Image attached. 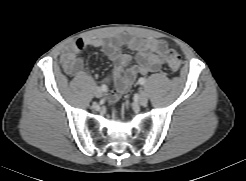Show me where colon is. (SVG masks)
I'll return each instance as SVG.
<instances>
[{
    "instance_id": "5ec220e1",
    "label": "colon",
    "mask_w": 246,
    "mask_h": 181,
    "mask_svg": "<svg viewBox=\"0 0 246 181\" xmlns=\"http://www.w3.org/2000/svg\"><path fill=\"white\" fill-rule=\"evenodd\" d=\"M167 67L172 72H177L181 68L182 60L177 52L169 50L166 53Z\"/></svg>"
}]
</instances>
